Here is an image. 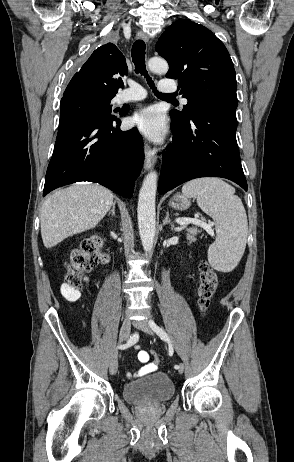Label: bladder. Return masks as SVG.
<instances>
[{"label": "bladder", "instance_id": "bladder-1", "mask_svg": "<svg viewBox=\"0 0 294 462\" xmlns=\"http://www.w3.org/2000/svg\"><path fill=\"white\" fill-rule=\"evenodd\" d=\"M126 401L136 404H162L175 394V386L168 375L155 372L123 387Z\"/></svg>", "mask_w": 294, "mask_h": 462}]
</instances>
